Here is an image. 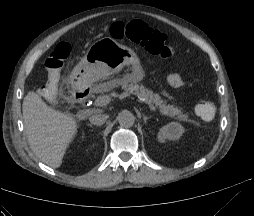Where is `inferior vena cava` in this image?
Segmentation results:
<instances>
[{
    "label": "inferior vena cava",
    "instance_id": "inferior-vena-cava-1",
    "mask_svg": "<svg viewBox=\"0 0 254 216\" xmlns=\"http://www.w3.org/2000/svg\"><path fill=\"white\" fill-rule=\"evenodd\" d=\"M107 118H108V115H106V114L94 113L89 117V121L93 125L100 126L105 123Z\"/></svg>",
    "mask_w": 254,
    "mask_h": 216
}]
</instances>
